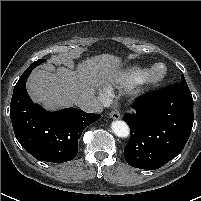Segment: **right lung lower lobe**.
Returning a JSON list of instances; mask_svg holds the SVG:
<instances>
[{"label": "right lung lower lobe", "mask_w": 201, "mask_h": 201, "mask_svg": "<svg viewBox=\"0 0 201 201\" xmlns=\"http://www.w3.org/2000/svg\"><path fill=\"white\" fill-rule=\"evenodd\" d=\"M36 66L30 65L16 83L10 118L18 142L40 161L62 163L75 158L83 130L101 115L77 108L47 112L33 104L26 81Z\"/></svg>", "instance_id": "right-lung-lower-lobe-1"}]
</instances>
